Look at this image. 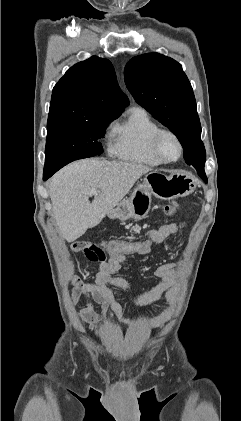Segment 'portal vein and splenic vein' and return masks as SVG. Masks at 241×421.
<instances>
[{"instance_id": "portal-vein-and-splenic-vein-1", "label": "portal vein and splenic vein", "mask_w": 241, "mask_h": 421, "mask_svg": "<svg viewBox=\"0 0 241 421\" xmlns=\"http://www.w3.org/2000/svg\"><path fill=\"white\" fill-rule=\"evenodd\" d=\"M98 191L96 189H92L89 191V195H97Z\"/></svg>"}]
</instances>
